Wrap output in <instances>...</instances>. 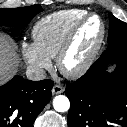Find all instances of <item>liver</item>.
Returning <instances> with one entry per match:
<instances>
[{
  "mask_svg": "<svg viewBox=\"0 0 127 127\" xmlns=\"http://www.w3.org/2000/svg\"><path fill=\"white\" fill-rule=\"evenodd\" d=\"M17 66L15 44L7 35L0 33V85L12 76Z\"/></svg>",
  "mask_w": 127,
  "mask_h": 127,
  "instance_id": "1",
  "label": "liver"
}]
</instances>
